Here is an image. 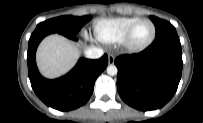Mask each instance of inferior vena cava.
<instances>
[{
  "label": "inferior vena cava",
  "instance_id": "1",
  "mask_svg": "<svg viewBox=\"0 0 203 123\" xmlns=\"http://www.w3.org/2000/svg\"><path fill=\"white\" fill-rule=\"evenodd\" d=\"M104 50L98 47L87 48L84 50V56L89 59H98L102 57Z\"/></svg>",
  "mask_w": 203,
  "mask_h": 123
}]
</instances>
